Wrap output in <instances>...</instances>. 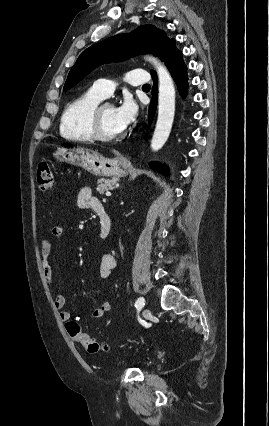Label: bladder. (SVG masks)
Listing matches in <instances>:
<instances>
[{"label":"bladder","instance_id":"31cf9c89","mask_svg":"<svg viewBox=\"0 0 269 426\" xmlns=\"http://www.w3.org/2000/svg\"><path fill=\"white\" fill-rule=\"evenodd\" d=\"M128 363V359L127 358H122L118 361V365L119 366H124Z\"/></svg>","mask_w":269,"mask_h":426}]
</instances>
